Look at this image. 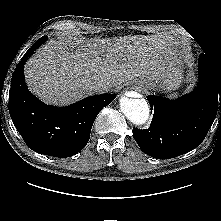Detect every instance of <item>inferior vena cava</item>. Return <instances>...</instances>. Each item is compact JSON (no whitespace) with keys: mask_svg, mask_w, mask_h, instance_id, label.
I'll use <instances>...</instances> for the list:
<instances>
[{"mask_svg":"<svg viewBox=\"0 0 221 221\" xmlns=\"http://www.w3.org/2000/svg\"><path fill=\"white\" fill-rule=\"evenodd\" d=\"M112 88V85L106 79H100L99 81L93 82L91 84V89L94 92L104 93L109 91Z\"/></svg>","mask_w":221,"mask_h":221,"instance_id":"602c4592","label":"inferior vena cava"}]
</instances>
